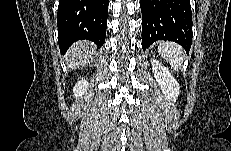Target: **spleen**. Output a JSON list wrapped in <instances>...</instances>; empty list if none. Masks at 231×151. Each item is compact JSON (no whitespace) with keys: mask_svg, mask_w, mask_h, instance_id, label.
<instances>
[{"mask_svg":"<svg viewBox=\"0 0 231 151\" xmlns=\"http://www.w3.org/2000/svg\"><path fill=\"white\" fill-rule=\"evenodd\" d=\"M159 54L165 58L171 66L178 71L183 64L182 47L174 42H160L158 46Z\"/></svg>","mask_w":231,"mask_h":151,"instance_id":"spleen-1","label":"spleen"}]
</instances>
